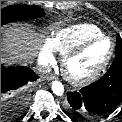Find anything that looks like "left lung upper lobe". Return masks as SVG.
I'll return each mask as SVG.
<instances>
[{
  "instance_id": "5c2ea615",
  "label": "left lung upper lobe",
  "mask_w": 122,
  "mask_h": 122,
  "mask_svg": "<svg viewBox=\"0 0 122 122\" xmlns=\"http://www.w3.org/2000/svg\"><path fill=\"white\" fill-rule=\"evenodd\" d=\"M116 54L113 62L122 61V39L120 36H117L116 41Z\"/></svg>"
}]
</instances>
